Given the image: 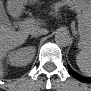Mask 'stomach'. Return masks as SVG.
Returning <instances> with one entry per match:
<instances>
[{
	"label": "stomach",
	"mask_w": 91,
	"mask_h": 91,
	"mask_svg": "<svg viewBox=\"0 0 91 91\" xmlns=\"http://www.w3.org/2000/svg\"><path fill=\"white\" fill-rule=\"evenodd\" d=\"M70 4L78 9V10H82L85 12L86 8H89V3L86 1H81V0H72L70 1ZM79 27H80V32L82 33V35L84 36V38L86 39L87 42H89L90 40V19L87 15H83L79 17Z\"/></svg>",
	"instance_id": "1"
}]
</instances>
